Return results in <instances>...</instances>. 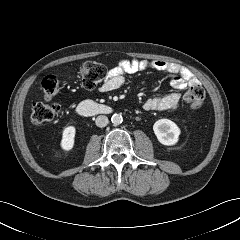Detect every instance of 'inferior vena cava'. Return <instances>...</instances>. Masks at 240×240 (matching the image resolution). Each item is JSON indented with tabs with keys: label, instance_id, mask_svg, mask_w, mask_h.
I'll use <instances>...</instances> for the list:
<instances>
[{
	"label": "inferior vena cava",
	"instance_id": "obj_1",
	"mask_svg": "<svg viewBox=\"0 0 240 240\" xmlns=\"http://www.w3.org/2000/svg\"><path fill=\"white\" fill-rule=\"evenodd\" d=\"M95 123L98 127H105L108 124V118L104 115H100L96 118Z\"/></svg>",
	"mask_w": 240,
	"mask_h": 240
}]
</instances>
